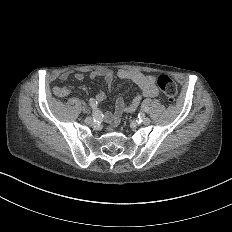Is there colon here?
<instances>
[{
  "label": "colon",
  "instance_id": "colon-1",
  "mask_svg": "<svg viewBox=\"0 0 232 232\" xmlns=\"http://www.w3.org/2000/svg\"><path fill=\"white\" fill-rule=\"evenodd\" d=\"M160 86L161 98H164V101H177L176 81H160ZM59 98H70V93H59Z\"/></svg>",
  "mask_w": 232,
  "mask_h": 232
}]
</instances>
